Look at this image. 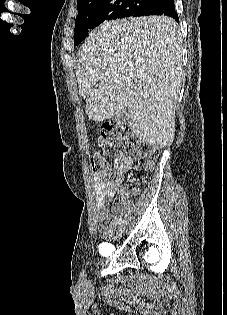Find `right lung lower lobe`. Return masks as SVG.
<instances>
[{"instance_id": "obj_1", "label": "right lung lower lobe", "mask_w": 227, "mask_h": 315, "mask_svg": "<svg viewBox=\"0 0 227 315\" xmlns=\"http://www.w3.org/2000/svg\"><path fill=\"white\" fill-rule=\"evenodd\" d=\"M149 15H166L179 22L178 15L175 11L174 0H153L143 10H136L132 16L136 17Z\"/></svg>"}]
</instances>
